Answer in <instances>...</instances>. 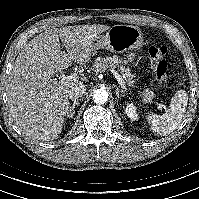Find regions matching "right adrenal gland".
<instances>
[{"instance_id": "1", "label": "right adrenal gland", "mask_w": 199, "mask_h": 199, "mask_svg": "<svg viewBox=\"0 0 199 199\" xmlns=\"http://www.w3.org/2000/svg\"><path fill=\"white\" fill-rule=\"evenodd\" d=\"M80 103L78 101H74L72 106L70 107L69 111L67 112V117L72 118L75 114V106H78Z\"/></svg>"}]
</instances>
